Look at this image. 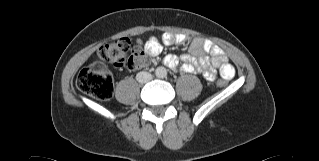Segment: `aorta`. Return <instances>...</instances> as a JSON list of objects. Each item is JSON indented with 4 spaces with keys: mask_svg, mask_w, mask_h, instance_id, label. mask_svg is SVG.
Masks as SVG:
<instances>
[{
    "mask_svg": "<svg viewBox=\"0 0 319 161\" xmlns=\"http://www.w3.org/2000/svg\"><path fill=\"white\" fill-rule=\"evenodd\" d=\"M155 75L158 78H164L167 75V70L164 67H157L155 70Z\"/></svg>",
    "mask_w": 319,
    "mask_h": 161,
    "instance_id": "1",
    "label": "aorta"
}]
</instances>
